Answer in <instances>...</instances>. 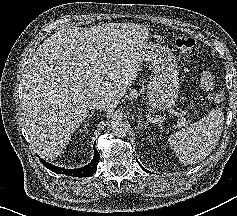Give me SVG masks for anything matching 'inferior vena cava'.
Wrapping results in <instances>:
<instances>
[{
  "label": "inferior vena cava",
  "instance_id": "inferior-vena-cava-1",
  "mask_svg": "<svg viewBox=\"0 0 237 216\" xmlns=\"http://www.w3.org/2000/svg\"><path fill=\"white\" fill-rule=\"evenodd\" d=\"M116 104L111 103L109 100L106 99H98L93 101L91 104V109L92 110H105L107 112H114L116 108Z\"/></svg>",
  "mask_w": 237,
  "mask_h": 216
}]
</instances>
